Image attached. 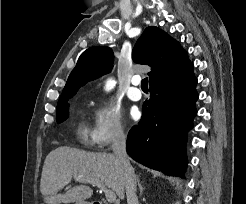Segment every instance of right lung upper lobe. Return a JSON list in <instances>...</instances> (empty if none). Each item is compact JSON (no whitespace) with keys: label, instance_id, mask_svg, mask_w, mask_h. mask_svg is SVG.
<instances>
[{"label":"right lung upper lobe","instance_id":"right-lung-upper-lobe-1","mask_svg":"<svg viewBox=\"0 0 246 204\" xmlns=\"http://www.w3.org/2000/svg\"><path fill=\"white\" fill-rule=\"evenodd\" d=\"M132 58L136 63L151 67L149 83L191 64L179 42L155 26L144 30L133 48ZM113 60V52L109 47H91L84 51L69 75L60 99L73 96L80 86L110 72Z\"/></svg>","mask_w":246,"mask_h":204}]
</instances>
